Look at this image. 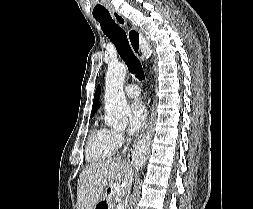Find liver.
<instances>
[{
    "mask_svg": "<svg viewBox=\"0 0 253 209\" xmlns=\"http://www.w3.org/2000/svg\"><path fill=\"white\" fill-rule=\"evenodd\" d=\"M132 176L129 165L118 158L89 164L79 175L77 209H94L107 187H110L114 194L124 196L131 188ZM116 187L120 188L119 192Z\"/></svg>",
    "mask_w": 253,
    "mask_h": 209,
    "instance_id": "liver-1",
    "label": "liver"
}]
</instances>
